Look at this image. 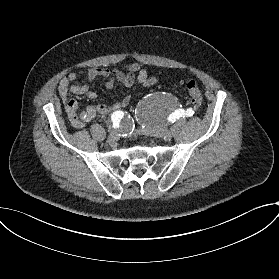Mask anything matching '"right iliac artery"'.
<instances>
[{"label": "right iliac artery", "instance_id": "82829eb1", "mask_svg": "<svg viewBox=\"0 0 279 279\" xmlns=\"http://www.w3.org/2000/svg\"><path fill=\"white\" fill-rule=\"evenodd\" d=\"M122 114L120 111L114 112L112 114V121H113V127L118 128L119 127V121L122 118Z\"/></svg>", "mask_w": 279, "mask_h": 279}]
</instances>
